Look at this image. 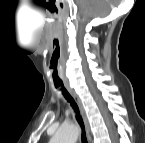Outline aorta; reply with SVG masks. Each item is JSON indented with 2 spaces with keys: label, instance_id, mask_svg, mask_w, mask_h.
<instances>
[{
  "label": "aorta",
  "instance_id": "762f6f07",
  "mask_svg": "<svg viewBox=\"0 0 145 143\" xmlns=\"http://www.w3.org/2000/svg\"><path fill=\"white\" fill-rule=\"evenodd\" d=\"M78 129L74 125L62 126L51 138L52 143H76Z\"/></svg>",
  "mask_w": 145,
  "mask_h": 143
}]
</instances>
